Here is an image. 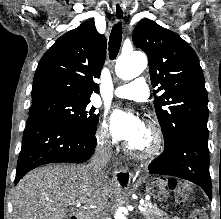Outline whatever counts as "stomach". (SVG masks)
Returning <instances> with one entry per match:
<instances>
[{"label": "stomach", "mask_w": 221, "mask_h": 219, "mask_svg": "<svg viewBox=\"0 0 221 219\" xmlns=\"http://www.w3.org/2000/svg\"><path fill=\"white\" fill-rule=\"evenodd\" d=\"M167 183H177V178H152L145 187L147 195L158 200L173 199L174 195L168 194V191H172V186H167Z\"/></svg>", "instance_id": "obj_1"}]
</instances>
